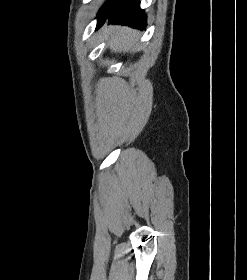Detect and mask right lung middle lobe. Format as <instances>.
Returning a JSON list of instances; mask_svg holds the SVG:
<instances>
[{"label":"right lung middle lobe","mask_w":247,"mask_h":280,"mask_svg":"<svg viewBox=\"0 0 247 280\" xmlns=\"http://www.w3.org/2000/svg\"><path fill=\"white\" fill-rule=\"evenodd\" d=\"M114 0H109L100 10L98 17L101 18L106 10L110 7V5L113 3Z\"/></svg>","instance_id":"1"}]
</instances>
